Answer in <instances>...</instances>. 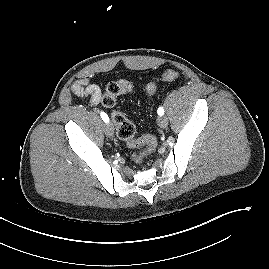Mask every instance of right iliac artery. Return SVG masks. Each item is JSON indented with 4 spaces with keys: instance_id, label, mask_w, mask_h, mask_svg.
Masks as SVG:
<instances>
[{
    "instance_id": "obj_1",
    "label": "right iliac artery",
    "mask_w": 269,
    "mask_h": 269,
    "mask_svg": "<svg viewBox=\"0 0 269 269\" xmlns=\"http://www.w3.org/2000/svg\"><path fill=\"white\" fill-rule=\"evenodd\" d=\"M100 116H101V118L103 119V121H104L105 123H108V122H109V117L107 116L106 113L101 112V113H100Z\"/></svg>"
}]
</instances>
